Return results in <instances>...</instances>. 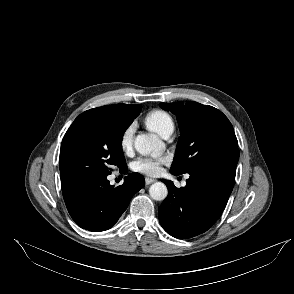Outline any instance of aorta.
<instances>
[{
	"label": "aorta",
	"mask_w": 294,
	"mask_h": 294,
	"mask_svg": "<svg viewBox=\"0 0 294 294\" xmlns=\"http://www.w3.org/2000/svg\"><path fill=\"white\" fill-rule=\"evenodd\" d=\"M160 140L153 134H139L134 140L135 149L141 154H147L154 151ZM149 194L156 201L164 200L168 195L167 187L162 182H156L149 188Z\"/></svg>",
	"instance_id": "762f6f07"
}]
</instances>
